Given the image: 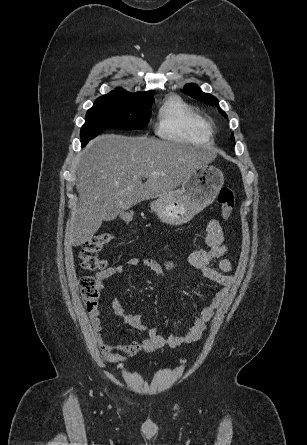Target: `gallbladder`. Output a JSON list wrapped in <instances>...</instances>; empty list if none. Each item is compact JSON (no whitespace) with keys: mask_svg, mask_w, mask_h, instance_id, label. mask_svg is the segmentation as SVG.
<instances>
[{"mask_svg":"<svg viewBox=\"0 0 307 445\" xmlns=\"http://www.w3.org/2000/svg\"><path fill=\"white\" fill-rule=\"evenodd\" d=\"M117 206L115 204H108L105 208L106 216L105 221L106 222H112L113 219L117 218L118 213L116 211Z\"/></svg>","mask_w":307,"mask_h":445,"instance_id":"gallbladder-1","label":"gallbladder"}]
</instances>
